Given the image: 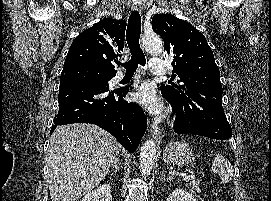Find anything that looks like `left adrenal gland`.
<instances>
[{
	"label": "left adrenal gland",
	"mask_w": 271,
	"mask_h": 201,
	"mask_svg": "<svg viewBox=\"0 0 271 201\" xmlns=\"http://www.w3.org/2000/svg\"><path fill=\"white\" fill-rule=\"evenodd\" d=\"M165 180H170V177H169V178H166V177H165V171L162 170V181H165Z\"/></svg>",
	"instance_id": "left-adrenal-gland-1"
}]
</instances>
